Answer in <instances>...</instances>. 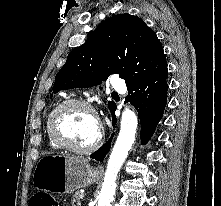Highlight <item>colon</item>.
<instances>
[{"label": "colon", "mask_w": 221, "mask_h": 206, "mask_svg": "<svg viewBox=\"0 0 221 206\" xmlns=\"http://www.w3.org/2000/svg\"><path fill=\"white\" fill-rule=\"evenodd\" d=\"M29 206H59L48 194L40 192L31 196Z\"/></svg>", "instance_id": "1"}]
</instances>
